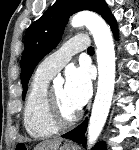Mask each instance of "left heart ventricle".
<instances>
[{
    "instance_id": "1",
    "label": "left heart ventricle",
    "mask_w": 139,
    "mask_h": 150,
    "mask_svg": "<svg viewBox=\"0 0 139 150\" xmlns=\"http://www.w3.org/2000/svg\"><path fill=\"white\" fill-rule=\"evenodd\" d=\"M52 93L63 117L70 118L77 112V109L68 101L63 86L53 87Z\"/></svg>"
}]
</instances>
